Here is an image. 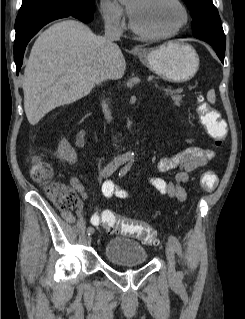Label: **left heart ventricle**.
<instances>
[{"mask_svg": "<svg viewBox=\"0 0 245 319\" xmlns=\"http://www.w3.org/2000/svg\"><path fill=\"white\" fill-rule=\"evenodd\" d=\"M135 24L149 33L175 29L182 21V12L173 0H130Z\"/></svg>", "mask_w": 245, "mask_h": 319, "instance_id": "obj_1", "label": "left heart ventricle"}]
</instances>
